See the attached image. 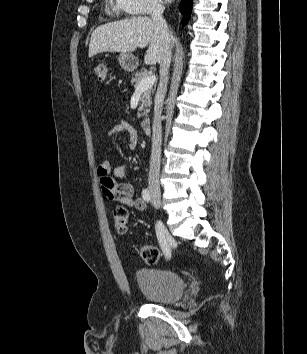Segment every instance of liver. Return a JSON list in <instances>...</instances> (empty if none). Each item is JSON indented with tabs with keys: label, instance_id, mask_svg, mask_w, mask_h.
Here are the masks:
<instances>
[{
	"label": "liver",
	"instance_id": "6515ba94",
	"mask_svg": "<svg viewBox=\"0 0 307 354\" xmlns=\"http://www.w3.org/2000/svg\"><path fill=\"white\" fill-rule=\"evenodd\" d=\"M147 45L145 63H160L164 47L159 30L149 17H133L96 28L91 35L88 56L92 58L102 52L129 53Z\"/></svg>",
	"mask_w": 307,
	"mask_h": 354
}]
</instances>
